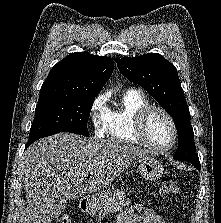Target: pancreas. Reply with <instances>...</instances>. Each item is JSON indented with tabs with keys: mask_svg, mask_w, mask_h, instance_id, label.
Wrapping results in <instances>:
<instances>
[{
	"mask_svg": "<svg viewBox=\"0 0 221 223\" xmlns=\"http://www.w3.org/2000/svg\"><path fill=\"white\" fill-rule=\"evenodd\" d=\"M129 204L130 200L126 197L124 191L120 190L115 191L113 196H111L106 201L103 208L99 211L98 213L99 220H101L105 215L119 211L122 208L128 206Z\"/></svg>",
	"mask_w": 221,
	"mask_h": 223,
	"instance_id": "obj_1",
	"label": "pancreas"
}]
</instances>
